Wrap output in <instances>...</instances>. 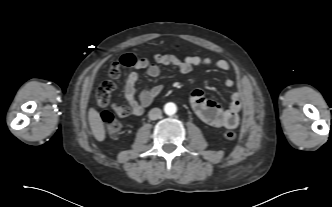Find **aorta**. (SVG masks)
Instances as JSON below:
<instances>
[{
  "instance_id": "aorta-1",
  "label": "aorta",
  "mask_w": 332,
  "mask_h": 207,
  "mask_svg": "<svg viewBox=\"0 0 332 207\" xmlns=\"http://www.w3.org/2000/svg\"><path fill=\"white\" fill-rule=\"evenodd\" d=\"M177 111V107L174 103L172 102H169V103H166L165 106H164V112L167 114V115H174Z\"/></svg>"
}]
</instances>
